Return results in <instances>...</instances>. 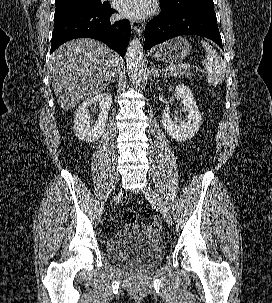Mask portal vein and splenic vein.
Instances as JSON below:
<instances>
[{
  "instance_id": "portal-vein-and-splenic-vein-1",
  "label": "portal vein and splenic vein",
  "mask_w": 272,
  "mask_h": 303,
  "mask_svg": "<svg viewBox=\"0 0 272 303\" xmlns=\"http://www.w3.org/2000/svg\"><path fill=\"white\" fill-rule=\"evenodd\" d=\"M174 68H180V69H188V68H190V66L189 65H183V64H181V65H173V66H170V67H166V68H164V70L163 71H168V70H170V69H174Z\"/></svg>"
}]
</instances>
